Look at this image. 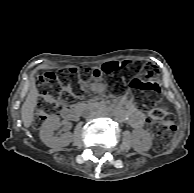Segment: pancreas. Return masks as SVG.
Wrapping results in <instances>:
<instances>
[{
  "label": "pancreas",
  "mask_w": 194,
  "mask_h": 193,
  "mask_svg": "<svg viewBox=\"0 0 194 193\" xmlns=\"http://www.w3.org/2000/svg\"><path fill=\"white\" fill-rule=\"evenodd\" d=\"M104 101H105V98L104 97H101L100 100L97 101V104L98 105H101L102 102H104Z\"/></svg>",
  "instance_id": "1"
}]
</instances>
